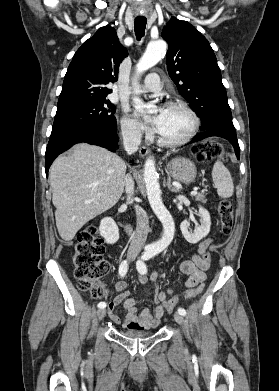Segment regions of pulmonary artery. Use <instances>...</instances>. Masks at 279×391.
Here are the masks:
<instances>
[{"label":"pulmonary artery","instance_id":"e3ab8cb5","mask_svg":"<svg viewBox=\"0 0 279 391\" xmlns=\"http://www.w3.org/2000/svg\"><path fill=\"white\" fill-rule=\"evenodd\" d=\"M161 90L160 77L157 73L146 76L144 83L137 90L138 92H158Z\"/></svg>","mask_w":279,"mask_h":391}]
</instances>
